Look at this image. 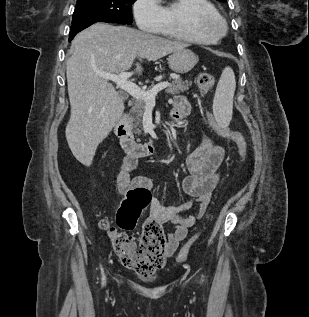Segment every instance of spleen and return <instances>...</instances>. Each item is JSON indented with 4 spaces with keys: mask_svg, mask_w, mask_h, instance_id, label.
<instances>
[{
    "mask_svg": "<svg viewBox=\"0 0 309 317\" xmlns=\"http://www.w3.org/2000/svg\"><path fill=\"white\" fill-rule=\"evenodd\" d=\"M235 89V74L232 68L226 67L218 81L213 101L214 117L221 127L228 126L232 119Z\"/></svg>",
    "mask_w": 309,
    "mask_h": 317,
    "instance_id": "obj_1",
    "label": "spleen"
}]
</instances>
